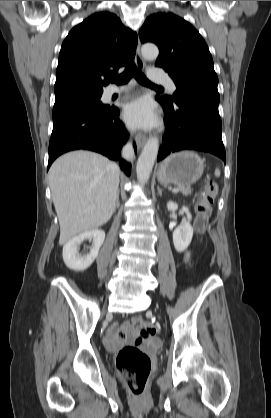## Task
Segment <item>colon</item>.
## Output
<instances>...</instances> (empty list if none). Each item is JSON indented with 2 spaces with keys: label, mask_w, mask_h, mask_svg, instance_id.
<instances>
[{
  "label": "colon",
  "mask_w": 271,
  "mask_h": 418,
  "mask_svg": "<svg viewBox=\"0 0 271 418\" xmlns=\"http://www.w3.org/2000/svg\"><path fill=\"white\" fill-rule=\"evenodd\" d=\"M217 193L218 185L211 180L207 181L201 190L196 204L197 219L195 222V228L199 234H202L205 230ZM138 323L142 326L141 336L143 338H149L155 335L156 330L151 324L146 323L142 319H138ZM116 366L131 393L136 397L142 396L151 372V360L149 356L137 347L127 345L118 353Z\"/></svg>",
  "instance_id": "obj_1"
}]
</instances>
